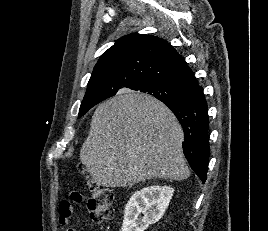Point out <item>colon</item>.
<instances>
[{"label":"colon","mask_w":268,"mask_h":231,"mask_svg":"<svg viewBox=\"0 0 268 231\" xmlns=\"http://www.w3.org/2000/svg\"><path fill=\"white\" fill-rule=\"evenodd\" d=\"M84 172V167H79ZM89 199L87 203L90 217L95 222H103L113 214V193L110 189L91 181L89 183Z\"/></svg>","instance_id":"1"}]
</instances>
